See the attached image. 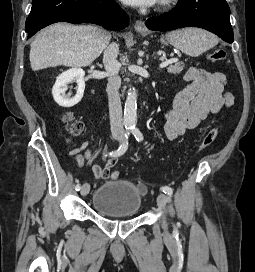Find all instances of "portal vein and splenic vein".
<instances>
[{"instance_id":"obj_1","label":"portal vein and splenic vein","mask_w":255,"mask_h":272,"mask_svg":"<svg viewBox=\"0 0 255 272\" xmlns=\"http://www.w3.org/2000/svg\"><path fill=\"white\" fill-rule=\"evenodd\" d=\"M174 62H176V59H174V58L168 59V60H166V61H163V62L159 65V67H160V68H164V67H166V66H168L169 64H172V63H174Z\"/></svg>"}]
</instances>
